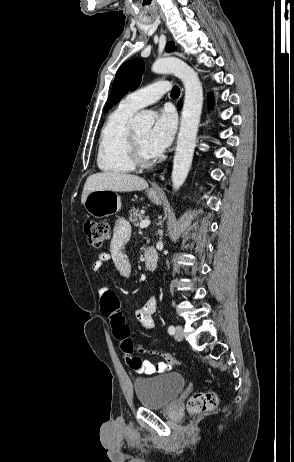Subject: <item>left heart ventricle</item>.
Returning a JSON list of instances; mask_svg holds the SVG:
<instances>
[{"label": "left heart ventricle", "mask_w": 294, "mask_h": 462, "mask_svg": "<svg viewBox=\"0 0 294 462\" xmlns=\"http://www.w3.org/2000/svg\"><path fill=\"white\" fill-rule=\"evenodd\" d=\"M134 132L136 134V137L141 145V148L144 154L147 156H152L153 154L150 152L147 146V138H148L150 130L148 128H140V129H134Z\"/></svg>", "instance_id": "left-heart-ventricle-1"}]
</instances>
